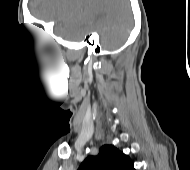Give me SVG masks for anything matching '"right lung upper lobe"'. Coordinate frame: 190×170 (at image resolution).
I'll return each mask as SVG.
<instances>
[{
    "instance_id": "1",
    "label": "right lung upper lobe",
    "mask_w": 190,
    "mask_h": 170,
    "mask_svg": "<svg viewBox=\"0 0 190 170\" xmlns=\"http://www.w3.org/2000/svg\"><path fill=\"white\" fill-rule=\"evenodd\" d=\"M78 170H135L133 161L112 145H103L97 156H89Z\"/></svg>"
}]
</instances>
